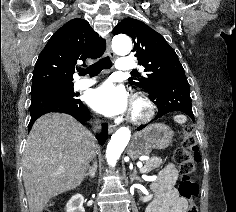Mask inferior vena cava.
I'll return each instance as SVG.
<instances>
[{"instance_id":"602c4592","label":"inferior vena cava","mask_w":236,"mask_h":212,"mask_svg":"<svg viewBox=\"0 0 236 212\" xmlns=\"http://www.w3.org/2000/svg\"><path fill=\"white\" fill-rule=\"evenodd\" d=\"M100 124H99V121H97L96 123H95V126H94V130L95 131H100ZM95 163V162H94Z\"/></svg>"}]
</instances>
